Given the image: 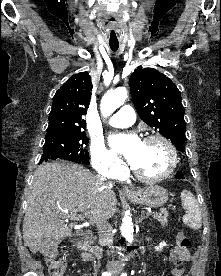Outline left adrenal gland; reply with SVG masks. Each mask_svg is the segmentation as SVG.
<instances>
[{
	"label": "left adrenal gland",
	"mask_w": 221,
	"mask_h": 276,
	"mask_svg": "<svg viewBox=\"0 0 221 276\" xmlns=\"http://www.w3.org/2000/svg\"><path fill=\"white\" fill-rule=\"evenodd\" d=\"M147 216H145L144 211L141 212V216L139 218V223H141Z\"/></svg>",
	"instance_id": "left-adrenal-gland-1"
}]
</instances>
